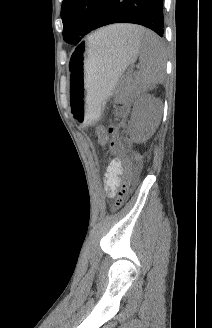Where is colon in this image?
<instances>
[{
    "instance_id": "1",
    "label": "colon",
    "mask_w": 212,
    "mask_h": 328,
    "mask_svg": "<svg viewBox=\"0 0 212 328\" xmlns=\"http://www.w3.org/2000/svg\"><path fill=\"white\" fill-rule=\"evenodd\" d=\"M95 131L97 134V140H98V144L101 147H106L108 146L109 149L113 152H118L120 150V140L117 136V132L116 129L112 126L110 127H104V126H96L95 127ZM140 165V161L136 160L135 162H133L127 169L125 176L122 180L120 189L118 190L116 197H115V202L113 205L112 210L113 211H117L119 210L123 204L125 203L133 180L136 176L137 173V169Z\"/></svg>"
}]
</instances>
